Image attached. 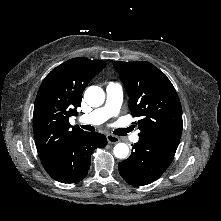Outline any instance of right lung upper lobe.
Segmentation results:
<instances>
[{
	"label": "right lung upper lobe",
	"instance_id": "right-lung-upper-lobe-1",
	"mask_svg": "<svg viewBox=\"0 0 221 221\" xmlns=\"http://www.w3.org/2000/svg\"><path fill=\"white\" fill-rule=\"evenodd\" d=\"M105 64L102 60L73 58L45 77L33 112L34 138L40 159L52 155L69 140L85 132L72 127L69 117L77 114L83 90Z\"/></svg>",
	"mask_w": 221,
	"mask_h": 221
}]
</instances>
